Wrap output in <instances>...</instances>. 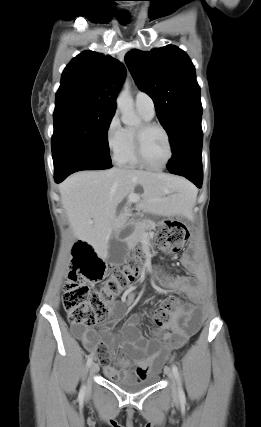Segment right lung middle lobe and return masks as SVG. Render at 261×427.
I'll list each match as a JSON object with an SVG mask.
<instances>
[{
  "mask_svg": "<svg viewBox=\"0 0 261 427\" xmlns=\"http://www.w3.org/2000/svg\"><path fill=\"white\" fill-rule=\"evenodd\" d=\"M113 115V111L91 107L55 110L52 136L54 164L72 158L111 163L107 131Z\"/></svg>",
  "mask_w": 261,
  "mask_h": 427,
  "instance_id": "1",
  "label": "right lung middle lobe"
}]
</instances>
